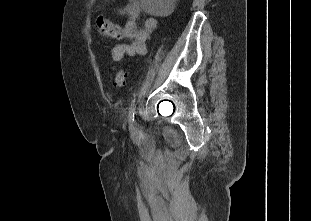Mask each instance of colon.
Returning a JSON list of instances; mask_svg holds the SVG:
<instances>
[{"mask_svg": "<svg viewBox=\"0 0 311 221\" xmlns=\"http://www.w3.org/2000/svg\"><path fill=\"white\" fill-rule=\"evenodd\" d=\"M97 28L99 32L109 39H119V34L117 32V25L109 20L102 19L97 24ZM127 73L123 70H117L114 74L112 84L114 87H123L126 84Z\"/></svg>", "mask_w": 311, "mask_h": 221, "instance_id": "5ec220e1", "label": "colon"}]
</instances>
